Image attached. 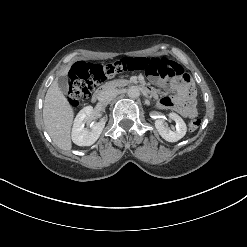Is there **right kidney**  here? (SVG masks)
Wrapping results in <instances>:
<instances>
[{
	"label": "right kidney",
	"instance_id": "obj_1",
	"mask_svg": "<svg viewBox=\"0 0 247 247\" xmlns=\"http://www.w3.org/2000/svg\"><path fill=\"white\" fill-rule=\"evenodd\" d=\"M93 107H84L76 116L72 128L71 138L78 146H90L94 144L102 133L106 120L102 119L92 125L91 130L85 128V123L93 120Z\"/></svg>",
	"mask_w": 247,
	"mask_h": 247
}]
</instances>
